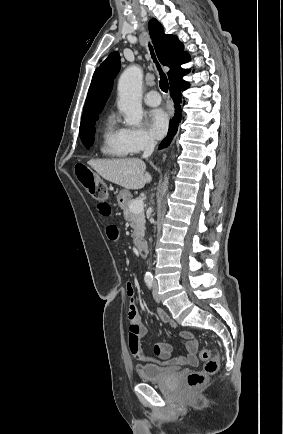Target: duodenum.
<instances>
[{
    "mask_svg": "<svg viewBox=\"0 0 283 434\" xmlns=\"http://www.w3.org/2000/svg\"><path fill=\"white\" fill-rule=\"evenodd\" d=\"M137 249H138L139 254L142 257H146L147 256V245H146V243L144 241H142V240L138 241V243H137Z\"/></svg>",
    "mask_w": 283,
    "mask_h": 434,
    "instance_id": "obj_1",
    "label": "duodenum"
}]
</instances>
